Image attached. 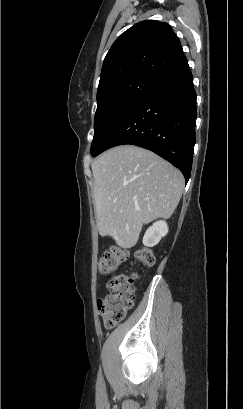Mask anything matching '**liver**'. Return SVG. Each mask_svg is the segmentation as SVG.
Returning a JSON list of instances; mask_svg holds the SVG:
<instances>
[{
  "label": "liver",
  "instance_id": "liver-1",
  "mask_svg": "<svg viewBox=\"0 0 243 409\" xmlns=\"http://www.w3.org/2000/svg\"><path fill=\"white\" fill-rule=\"evenodd\" d=\"M92 173L99 234L125 249L137 244L143 224L173 214L184 188L178 169L134 145L104 152L92 163Z\"/></svg>",
  "mask_w": 243,
  "mask_h": 409
}]
</instances>
